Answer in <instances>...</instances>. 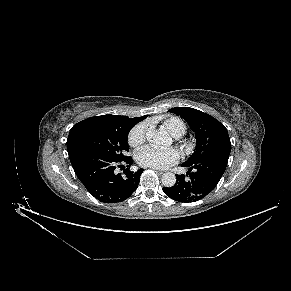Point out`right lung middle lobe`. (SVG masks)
Masks as SVG:
<instances>
[{
    "instance_id": "dd1d6c3e",
    "label": "right lung middle lobe",
    "mask_w": 291,
    "mask_h": 291,
    "mask_svg": "<svg viewBox=\"0 0 291 291\" xmlns=\"http://www.w3.org/2000/svg\"><path fill=\"white\" fill-rule=\"evenodd\" d=\"M127 126H111L97 128L83 134L78 141L79 146L88 147L106 153L116 159H124L129 151Z\"/></svg>"
}]
</instances>
